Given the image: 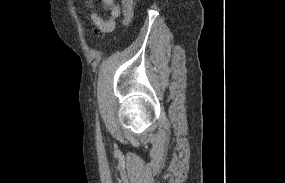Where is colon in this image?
I'll return each mask as SVG.
<instances>
[{"mask_svg": "<svg viewBox=\"0 0 285 183\" xmlns=\"http://www.w3.org/2000/svg\"><path fill=\"white\" fill-rule=\"evenodd\" d=\"M123 14H124V24L129 25L134 16V0H120Z\"/></svg>", "mask_w": 285, "mask_h": 183, "instance_id": "1", "label": "colon"}]
</instances>
